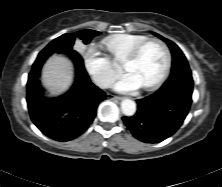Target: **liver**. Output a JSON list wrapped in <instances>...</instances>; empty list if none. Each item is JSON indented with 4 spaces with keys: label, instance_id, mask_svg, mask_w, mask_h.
<instances>
[{
    "label": "liver",
    "instance_id": "1",
    "mask_svg": "<svg viewBox=\"0 0 222 187\" xmlns=\"http://www.w3.org/2000/svg\"><path fill=\"white\" fill-rule=\"evenodd\" d=\"M72 65L63 56L53 55L42 70V81L51 96L64 93L72 83Z\"/></svg>",
    "mask_w": 222,
    "mask_h": 187
}]
</instances>
